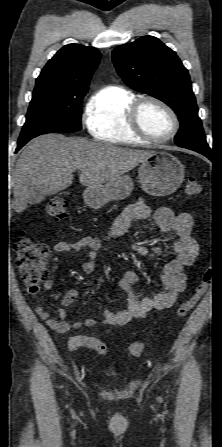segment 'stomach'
Here are the masks:
<instances>
[{
  "mask_svg": "<svg viewBox=\"0 0 222 447\" xmlns=\"http://www.w3.org/2000/svg\"><path fill=\"white\" fill-rule=\"evenodd\" d=\"M139 182L143 190L153 196H166L175 192L184 180V166L172 154L164 151L154 153L143 160L139 167ZM133 181L122 175L105 185L87 187L84 202L91 208H101L112 200L130 196Z\"/></svg>",
  "mask_w": 222,
  "mask_h": 447,
  "instance_id": "1",
  "label": "stomach"
}]
</instances>
